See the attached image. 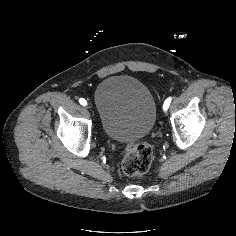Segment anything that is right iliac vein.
<instances>
[{
    "instance_id": "obj_1",
    "label": "right iliac vein",
    "mask_w": 236,
    "mask_h": 236,
    "mask_svg": "<svg viewBox=\"0 0 236 236\" xmlns=\"http://www.w3.org/2000/svg\"><path fill=\"white\" fill-rule=\"evenodd\" d=\"M89 107H90V109H89L90 112L93 113V115H92L93 118H95V119L98 118L99 115H98V113H96V111H97L96 108L93 106H90V105H89Z\"/></svg>"
}]
</instances>
